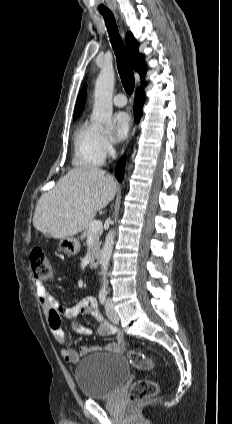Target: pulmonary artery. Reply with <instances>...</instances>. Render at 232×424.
I'll list each match as a JSON object with an SVG mask.
<instances>
[{
  "mask_svg": "<svg viewBox=\"0 0 232 424\" xmlns=\"http://www.w3.org/2000/svg\"><path fill=\"white\" fill-rule=\"evenodd\" d=\"M113 103L117 107H124L127 104V98H126L125 94L119 93V94L115 95L114 98H113Z\"/></svg>",
  "mask_w": 232,
  "mask_h": 424,
  "instance_id": "obj_1",
  "label": "pulmonary artery"
}]
</instances>
